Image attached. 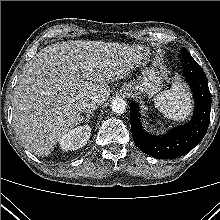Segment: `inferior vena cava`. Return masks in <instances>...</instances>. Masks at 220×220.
<instances>
[{
	"instance_id": "inferior-vena-cava-1",
	"label": "inferior vena cava",
	"mask_w": 220,
	"mask_h": 220,
	"mask_svg": "<svg viewBox=\"0 0 220 220\" xmlns=\"http://www.w3.org/2000/svg\"><path fill=\"white\" fill-rule=\"evenodd\" d=\"M100 104V100L97 97H91L82 103L83 112H92L97 109Z\"/></svg>"
}]
</instances>
